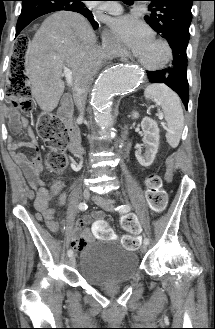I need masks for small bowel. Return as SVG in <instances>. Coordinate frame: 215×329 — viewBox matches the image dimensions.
<instances>
[{"instance_id":"small-bowel-1","label":"small bowel","mask_w":215,"mask_h":329,"mask_svg":"<svg viewBox=\"0 0 215 329\" xmlns=\"http://www.w3.org/2000/svg\"><path fill=\"white\" fill-rule=\"evenodd\" d=\"M11 125L14 131L26 130L30 135L32 134L26 120L20 117L16 112H13L10 117ZM8 147L12 152L15 161L22 169L26 176L30 187L34 190V206L39 212L40 216L46 221L50 229L56 231L59 229V222L54 218L55 210L49 206V201L53 195L58 194L62 189V182L56 181L50 188H47L45 182L41 178L42 166L41 158L39 154L34 157H27L25 154L19 151L22 147H29L38 150L37 143L33 138L27 141L15 140L10 138L8 140ZM68 194L62 192L59 197L60 204H65ZM104 214L102 212H95L92 218L96 220H90V217L78 219L76 222V228L71 230L72 238L71 245L77 251H82L83 248L93 240L92 236H96V242H111L114 237V225H107V221L104 220ZM88 224L89 230L85 227ZM80 232V234H77ZM141 239V237H139Z\"/></svg>"}]
</instances>
